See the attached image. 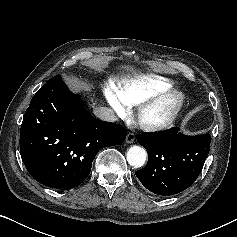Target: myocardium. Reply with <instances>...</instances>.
Masks as SVG:
<instances>
[{
  "instance_id": "myocardium-1",
  "label": "myocardium",
  "mask_w": 237,
  "mask_h": 237,
  "mask_svg": "<svg viewBox=\"0 0 237 237\" xmlns=\"http://www.w3.org/2000/svg\"><path fill=\"white\" fill-rule=\"evenodd\" d=\"M168 105L164 116L159 120H146L147 112ZM184 105V95L177 90H167L141 103L136 111V119L146 130L158 131L168 128L176 119Z\"/></svg>"
}]
</instances>
